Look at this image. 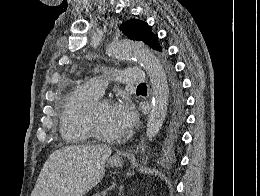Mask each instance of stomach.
Wrapping results in <instances>:
<instances>
[{
	"instance_id": "obj_1",
	"label": "stomach",
	"mask_w": 260,
	"mask_h": 196,
	"mask_svg": "<svg viewBox=\"0 0 260 196\" xmlns=\"http://www.w3.org/2000/svg\"><path fill=\"white\" fill-rule=\"evenodd\" d=\"M124 162L122 158H118V156H113V158H109L107 162V166L110 168H122Z\"/></svg>"
}]
</instances>
